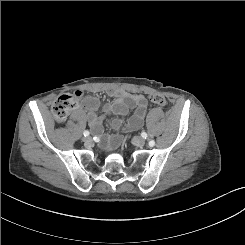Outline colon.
Listing matches in <instances>:
<instances>
[{"mask_svg": "<svg viewBox=\"0 0 245 245\" xmlns=\"http://www.w3.org/2000/svg\"><path fill=\"white\" fill-rule=\"evenodd\" d=\"M81 97V94L76 92L73 95L63 94L59 96L52 105V113L56 121H64ZM149 98L156 105L165 106L167 104L166 97L161 94H152Z\"/></svg>", "mask_w": 245, "mask_h": 245, "instance_id": "obj_1", "label": "colon"}]
</instances>
